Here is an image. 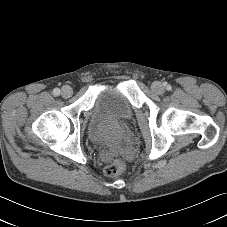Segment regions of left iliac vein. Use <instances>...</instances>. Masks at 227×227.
I'll list each match as a JSON object with an SVG mask.
<instances>
[{"label": "left iliac vein", "instance_id": "4c4485c4", "mask_svg": "<svg viewBox=\"0 0 227 227\" xmlns=\"http://www.w3.org/2000/svg\"><path fill=\"white\" fill-rule=\"evenodd\" d=\"M151 89L156 94H162L164 92V87L159 81L153 82Z\"/></svg>", "mask_w": 227, "mask_h": 227}]
</instances>
